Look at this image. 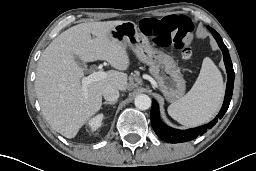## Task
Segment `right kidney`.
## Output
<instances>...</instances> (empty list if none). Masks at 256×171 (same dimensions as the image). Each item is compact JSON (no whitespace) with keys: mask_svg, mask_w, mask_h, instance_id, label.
Masks as SVG:
<instances>
[{"mask_svg":"<svg viewBox=\"0 0 256 171\" xmlns=\"http://www.w3.org/2000/svg\"><path fill=\"white\" fill-rule=\"evenodd\" d=\"M103 114H99L88 121L91 131L97 130L102 125Z\"/></svg>","mask_w":256,"mask_h":171,"instance_id":"ca27d5eb","label":"right kidney"}]
</instances>
